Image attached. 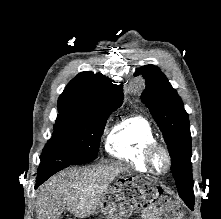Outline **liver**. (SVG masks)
I'll return each instance as SVG.
<instances>
[{
    "instance_id": "liver-1",
    "label": "liver",
    "mask_w": 221,
    "mask_h": 219,
    "mask_svg": "<svg viewBox=\"0 0 221 219\" xmlns=\"http://www.w3.org/2000/svg\"><path fill=\"white\" fill-rule=\"evenodd\" d=\"M122 164L69 169L53 176L37 195V219H59L67 210L75 216H87L101 207L111 182L127 172Z\"/></svg>"
}]
</instances>
